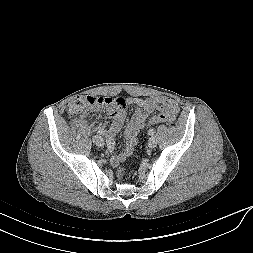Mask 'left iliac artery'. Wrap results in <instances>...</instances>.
I'll list each match as a JSON object with an SVG mask.
<instances>
[{
    "mask_svg": "<svg viewBox=\"0 0 253 253\" xmlns=\"http://www.w3.org/2000/svg\"><path fill=\"white\" fill-rule=\"evenodd\" d=\"M154 133H155V129L154 128L149 129V131H148L149 135H154Z\"/></svg>",
    "mask_w": 253,
    "mask_h": 253,
    "instance_id": "1",
    "label": "left iliac artery"
}]
</instances>
